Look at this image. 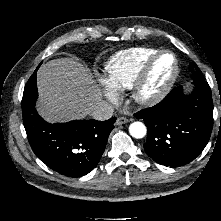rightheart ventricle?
<instances>
[{
    "label": "right heart ventricle",
    "mask_w": 221,
    "mask_h": 221,
    "mask_svg": "<svg viewBox=\"0 0 221 221\" xmlns=\"http://www.w3.org/2000/svg\"><path fill=\"white\" fill-rule=\"evenodd\" d=\"M158 51L150 47H134L116 52L105 64L108 81L117 90L130 89L146 61Z\"/></svg>",
    "instance_id": "e07e8e85"
}]
</instances>
